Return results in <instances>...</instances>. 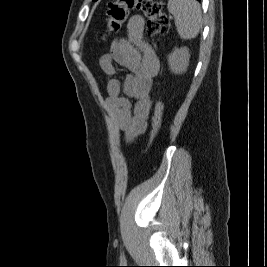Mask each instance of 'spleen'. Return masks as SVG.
I'll return each mask as SVG.
<instances>
[{"label": "spleen", "mask_w": 267, "mask_h": 267, "mask_svg": "<svg viewBox=\"0 0 267 267\" xmlns=\"http://www.w3.org/2000/svg\"><path fill=\"white\" fill-rule=\"evenodd\" d=\"M167 8L174 16L176 30L182 39L195 38L202 26V11L196 0H168Z\"/></svg>", "instance_id": "spleen-1"}]
</instances>
